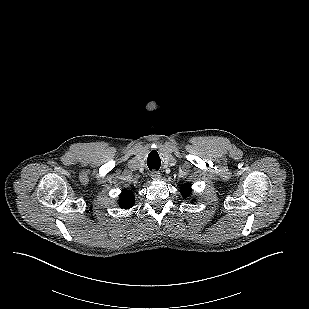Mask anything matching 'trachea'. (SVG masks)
Wrapping results in <instances>:
<instances>
[{
    "mask_svg": "<svg viewBox=\"0 0 309 309\" xmlns=\"http://www.w3.org/2000/svg\"><path fill=\"white\" fill-rule=\"evenodd\" d=\"M161 161L160 158H152L151 156L147 159V166L150 170L155 169L158 170L160 168Z\"/></svg>",
    "mask_w": 309,
    "mask_h": 309,
    "instance_id": "1",
    "label": "trachea"
}]
</instances>
